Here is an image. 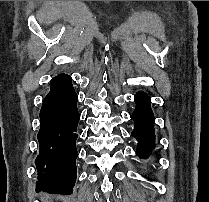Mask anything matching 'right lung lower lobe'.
I'll use <instances>...</instances> for the list:
<instances>
[{"label": "right lung lower lobe", "instance_id": "obj_1", "mask_svg": "<svg viewBox=\"0 0 209 202\" xmlns=\"http://www.w3.org/2000/svg\"><path fill=\"white\" fill-rule=\"evenodd\" d=\"M50 87L40 111L36 191L71 194L77 178L78 96L67 74L54 77Z\"/></svg>", "mask_w": 209, "mask_h": 202}]
</instances>
